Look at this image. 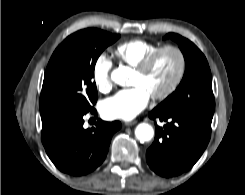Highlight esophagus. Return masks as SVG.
<instances>
[{
  "label": "esophagus",
  "instance_id": "34e87169",
  "mask_svg": "<svg viewBox=\"0 0 245 195\" xmlns=\"http://www.w3.org/2000/svg\"><path fill=\"white\" fill-rule=\"evenodd\" d=\"M137 123V121H129V122H125L126 126H133Z\"/></svg>",
  "mask_w": 245,
  "mask_h": 195
}]
</instances>
